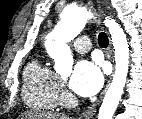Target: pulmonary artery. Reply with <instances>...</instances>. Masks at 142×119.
I'll use <instances>...</instances> for the list:
<instances>
[{"label": "pulmonary artery", "instance_id": "e3ab8cb5", "mask_svg": "<svg viewBox=\"0 0 142 119\" xmlns=\"http://www.w3.org/2000/svg\"><path fill=\"white\" fill-rule=\"evenodd\" d=\"M72 46L75 51L79 53H85L91 49L92 44H91V40L88 37L82 36V37H78L73 42Z\"/></svg>", "mask_w": 142, "mask_h": 119}]
</instances>
